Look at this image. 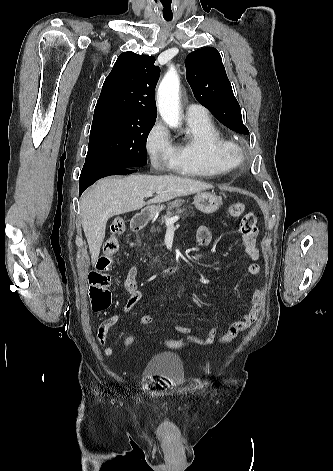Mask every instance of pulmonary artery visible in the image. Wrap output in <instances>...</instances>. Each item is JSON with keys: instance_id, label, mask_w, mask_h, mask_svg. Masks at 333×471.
Returning <instances> with one entry per match:
<instances>
[{"instance_id": "e3ab8cb5", "label": "pulmonary artery", "mask_w": 333, "mask_h": 471, "mask_svg": "<svg viewBox=\"0 0 333 471\" xmlns=\"http://www.w3.org/2000/svg\"><path fill=\"white\" fill-rule=\"evenodd\" d=\"M207 114L205 107L199 104L190 103L186 108V116L188 119H194Z\"/></svg>"}]
</instances>
